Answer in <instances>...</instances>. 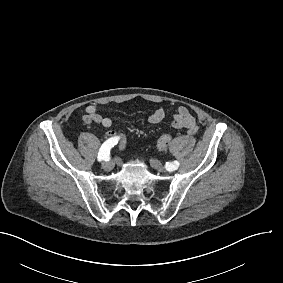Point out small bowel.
Returning a JSON list of instances; mask_svg holds the SVG:
<instances>
[{
	"instance_id": "c3829d8e",
	"label": "small bowel",
	"mask_w": 283,
	"mask_h": 283,
	"mask_svg": "<svg viewBox=\"0 0 283 283\" xmlns=\"http://www.w3.org/2000/svg\"><path fill=\"white\" fill-rule=\"evenodd\" d=\"M166 117V110L162 107L157 108L148 117L150 124L156 125L161 123ZM83 122L87 124H99L104 128H110L112 126L111 118L103 116L99 113L96 105L90 104L85 108V114L82 117ZM171 126L175 129H186L190 135L196 134L198 126L194 116L189 112L187 107L181 106L177 108L171 120ZM114 131H109L108 135L113 136Z\"/></svg>"
}]
</instances>
